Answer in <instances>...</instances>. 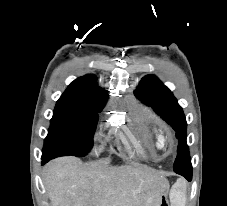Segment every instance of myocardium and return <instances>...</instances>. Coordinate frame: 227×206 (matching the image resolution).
I'll return each mask as SVG.
<instances>
[{"mask_svg":"<svg viewBox=\"0 0 227 206\" xmlns=\"http://www.w3.org/2000/svg\"><path fill=\"white\" fill-rule=\"evenodd\" d=\"M171 144L172 143V141L170 140V139H164L163 140V145H166V144Z\"/></svg>","mask_w":227,"mask_h":206,"instance_id":"f54148a6","label":"myocardium"}]
</instances>
